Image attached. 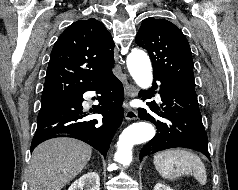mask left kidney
Wrapping results in <instances>:
<instances>
[{"instance_id": "obj_1", "label": "left kidney", "mask_w": 238, "mask_h": 190, "mask_svg": "<svg viewBox=\"0 0 238 190\" xmlns=\"http://www.w3.org/2000/svg\"><path fill=\"white\" fill-rule=\"evenodd\" d=\"M154 190H174V189H171L170 187L164 185L163 183H157L154 187Z\"/></svg>"}]
</instances>
